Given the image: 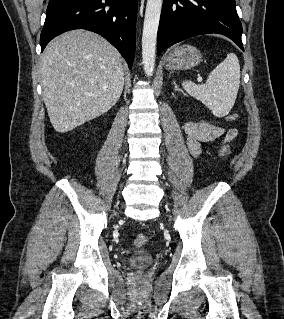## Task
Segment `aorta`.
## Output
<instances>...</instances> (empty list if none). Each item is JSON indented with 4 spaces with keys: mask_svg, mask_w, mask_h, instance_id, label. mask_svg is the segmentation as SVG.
<instances>
[{
    "mask_svg": "<svg viewBox=\"0 0 284 319\" xmlns=\"http://www.w3.org/2000/svg\"><path fill=\"white\" fill-rule=\"evenodd\" d=\"M163 0H147L142 34V64L151 77L155 69L156 41Z\"/></svg>",
    "mask_w": 284,
    "mask_h": 319,
    "instance_id": "aorta-1",
    "label": "aorta"
}]
</instances>
